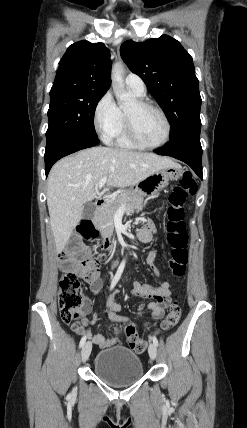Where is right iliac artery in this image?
<instances>
[{
  "instance_id": "82829eb1",
  "label": "right iliac artery",
  "mask_w": 247,
  "mask_h": 428,
  "mask_svg": "<svg viewBox=\"0 0 247 428\" xmlns=\"http://www.w3.org/2000/svg\"><path fill=\"white\" fill-rule=\"evenodd\" d=\"M124 267H125V260H123L121 262L120 266L118 267L117 272H116V274H115V276L111 282L110 290H112L114 288V286L117 284V282L119 281V279L123 273ZM86 338H87L86 335H84L81 338L80 343H79L80 348L85 344Z\"/></svg>"
}]
</instances>
